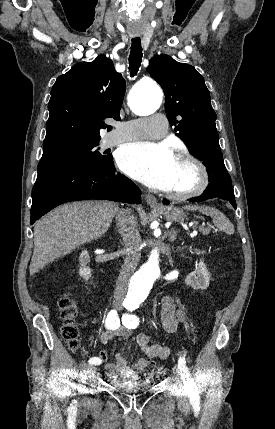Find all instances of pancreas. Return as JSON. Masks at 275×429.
I'll list each match as a JSON object with an SVG mask.
<instances>
[{
  "instance_id": "cf45deb5",
  "label": "pancreas",
  "mask_w": 275,
  "mask_h": 429,
  "mask_svg": "<svg viewBox=\"0 0 275 429\" xmlns=\"http://www.w3.org/2000/svg\"><path fill=\"white\" fill-rule=\"evenodd\" d=\"M199 231L203 234V235H208L210 233V229L209 228H200Z\"/></svg>"
}]
</instances>
